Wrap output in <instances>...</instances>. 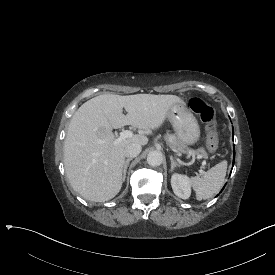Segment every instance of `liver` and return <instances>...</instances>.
Returning a JSON list of instances; mask_svg holds the SVG:
<instances>
[{
    "label": "liver",
    "mask_w": 275,
    "mask_h": 275,
    "mask_svg": "<svg viewBox=\"0 0 275 275\" xmlns=\"http://www.w3.org/2000/svg\"><path fill=\"white\" fill-rule=\"evenodd\" d=\"M175 103L185 105L175 95L103 94L81 105L72 116L64 143L65 172L73 189L95 202L115 197L122 187L124 148L130 143L146 145L148 138L134 135L114 144L112 129L125 125L156 129Z\"/></svg>",
    "instance_id": "obj_1"
}]
</instances>
